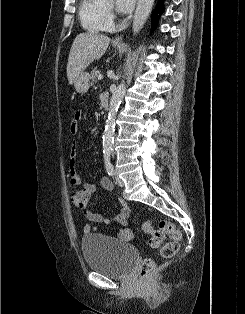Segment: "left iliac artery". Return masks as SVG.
<instances>
[{"mask_svg":"<svg viewBox=\"0 0 245 314\" xmlns=\"http://www.w3.org/2000/svg\"><path fill=\"white\" fill-rule=\"evenodd\" d=\"M110 157H111L110 154H105L104 155V162H105V168H106L107 173L110 176H113L114 175V168H113V165L111 164Z\"/></svg>","mask_w":245,"mask_h":314,"instance_id":"44dca946","label":"left iliac artery"}]
</instances>
